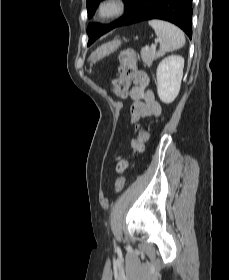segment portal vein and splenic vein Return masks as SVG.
I'll use <instances>...</instances> for the list:
<instances>
[{
  "label": "portal vein and splenic vein",
  "instance_id": "portal-vein-and-splenic-vein-1",
  "mask_svg": "<svg viewBox=\"0 0 229 280\" xmlns=\"http://www.w3.org/2000/svg\"><path fill=\"white\" fill-rule=\"evenodd\" d=\"M157 42H158V40H156L155 44H152V45H151V49H152V50H155V49H156Z\"/></svg>",
  "mask_w": 229,
  "mask_h": 280
}]
</instances>
